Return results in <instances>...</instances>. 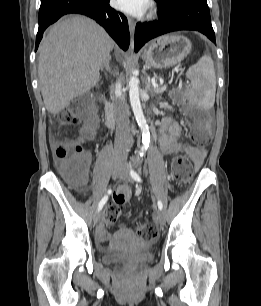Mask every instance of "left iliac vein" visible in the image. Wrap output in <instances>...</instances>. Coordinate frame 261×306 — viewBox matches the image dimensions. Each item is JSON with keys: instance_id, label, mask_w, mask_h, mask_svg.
<instances>
[{"instance_id": "left-iliac-vein-1", "label": "left iliac vein", "mask_w": 261, "mask_h": 306, "mask_svg": "<svg viewBox=\"0 0 261 306\" xmlns=\"http://www.w3.org/2000/svg\"><path fill=\"white\" fill-rule=\"evenodd\" d=\"M118 177L125 182H132L129 171L125 164L121 166ZM155 220L158 224L162 225L164 223V214L161 210L157 211L155 215Z\"/></svg>"}]
</instances>
